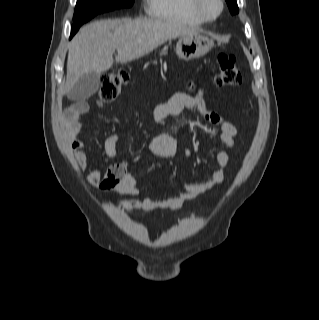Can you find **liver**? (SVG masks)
I'll list each match as a JSON object with an SVG mask.
<instances>
[{"mask_svg":"<svg viewBox=\"0 0 319 320\" xmlns=\"http://www.w3.org/2000/svg\"><path fill=\"white\" fill-rule=\"evenodd\" d=\"M198 30L163 19H108L82 27L72 39L64 94L85 74L103 73L113 63H126L149 54L169 39L195 35Z\"/></svg>","mask_w":319,"mask_h":320,"instance_id":"obj_1","label":"liver"}]
</instances>
